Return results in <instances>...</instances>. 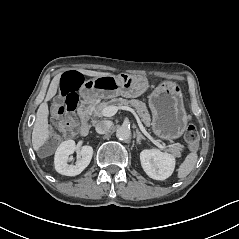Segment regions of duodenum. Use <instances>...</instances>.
I'll list each match as a JSON object with an SVG mask.
<instances>
[{
	"label": "duodenum",
	"mask_w": 239,
	"mask_h": 239,
	"mask_svg": "<svg viewBox=\"0 0 239 239\" xmlns=\"http://www.w3.org/2000/svg\"><path fill=\"white\" fill-rule=\"evenodd\" d=\"M78 113L81 118V125L79 132L81 136H86L90 130V115H91V102L88 100H83L78 108Z\"/></svg>",
	"instance_id": "1"
}]
</instances>
